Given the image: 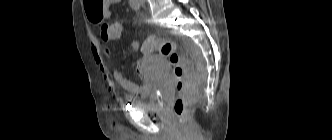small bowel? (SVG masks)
Wrapping results in <instances>:
<instances>
[{
	"mask_svg": "<svg viewBox=\"0 0 332 140\" xmlns=\"http://www.w3.org/2000/svg\"><path fill=\"white\" fill-rule=\"evenodd\" d=\"M120 2H121V0H106L103 18L110 17L111 7ZM92 22L97 23L96 21H92ZM113 40L114 39L107 37L100 32L99 37L94 38L92 41V53H93L95 62L99 66V68L103 74V78L105 79V81L107 83V91L111 94H115L117 91L116 85H118L119 87H121L122 89H124L127 92V94L125 95V99L127 101H130V102L133 101L135 96L145 97L147 94H149L151 86H150L148 76L141 66L137 67V72H138L140 78L142 79L141 84H136V83L130 81L120 71H114L112 73V75H110V73L108 72L104 56L109 55V50L107 49V47H105V44H107ZM133 49L135 51H139L141 49L138 42L133 43Z\"/></svg>",
	"mask_w": 332,
	"mask_h": 140,
	"instance_id": "small-bowel-1",
	"label": "small bowel"
}]
</instances>
